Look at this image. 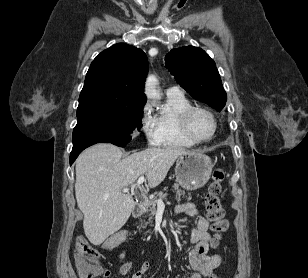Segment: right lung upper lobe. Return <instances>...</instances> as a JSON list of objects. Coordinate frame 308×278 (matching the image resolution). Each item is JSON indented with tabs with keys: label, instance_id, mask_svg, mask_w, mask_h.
<instances>
[{
	"label": "right lung upper lobe",
	"instance_id": "obj_1",
	"mask_svg": "<svg viewBox=\"0 0 308 278\" xmlns=\"http://www.w3.org/2000/svg\"><path fill=\"white\" fill-rule=\"evenodd\" d=\"M148 61L141 49L119 43L92 62L79 97L77 116L144 106Z\"/></svg>",
	"mask_w": 308,
	"mask_h": 278
}]
</instances>
